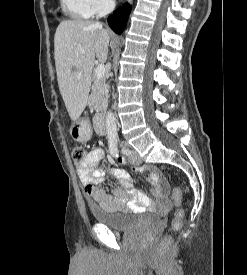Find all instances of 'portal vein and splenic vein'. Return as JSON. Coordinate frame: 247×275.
Here are the masks:
<instances>
[{
    "instance_id": "obj_1",
    "label": "portal vein and splenic vein",
    "mask_w": 247,
    "mask_h": 275,
    "mask_svg": "<svg viewBox=\"0 0 247 275\" xmlns=\"http://www.w3.org/2000/svg\"><path fill=\"white\" fill-rule=\"evenodd\" d=\"M105 66L104 64H99L97 68L95 69V76L97 79L102 78L105 75Z\"/></svg>"
}]
</instances>
